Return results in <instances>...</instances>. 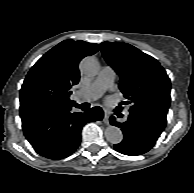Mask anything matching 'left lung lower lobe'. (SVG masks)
Masks as SVG:
<instances>
[{
    "mask_svg": "<svg viewBox=\"0 0 194 193\" xmlns=\"http://www.w3.org/2000/svg\"><path fill=\"white\" fill-rule=\"evenodd\" d=\"M110 123L121 128L124 138L114 148L125 155L137 156L149 151L163 132L167 119L164 114L130 111L127 121L120 123L110 117Z\"/></svg>",
    "mask_w": 194,
    "mask_h": 193,
    "instance_id": "left-lung-lower-lobe-1",
    "label": "left lung lower lobe"
}]
</instances>
